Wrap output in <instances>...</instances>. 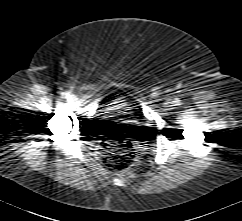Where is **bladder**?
Returning <instances> with one entry per match:
<instances>
[{"mask_svg": "<svg viewBox=\"0 0 242 221\" xmlns=\"http://www.w3.org/2000/svg\"><path fill=\"white\" fill-rule=\"evenodd\" d=\"M106 110L112 114H122L132 111V106L125 101H117L106 106Z\"/></svg>", "mask_w": 242, "mask_h": 221, "instance_id": "1", "label": "bladder"}]
</instances>
